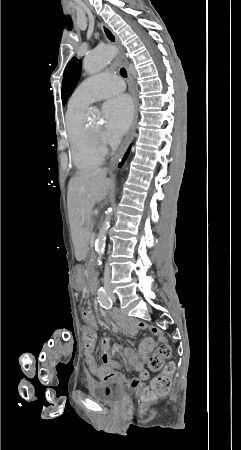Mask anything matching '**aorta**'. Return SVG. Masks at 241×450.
Segmentation results:
<instances>
[{
	"label": "aorta",
	"mask_w": 241,
	"mask_h": 450,
	"mask_svg": "<svg viewBox=\"0 0 241 450\" xmlns=\"http://www.w3.org/2000/svg\"><path fill=\"white\" fill-rule=\"evenodd\" d=\"M117 53V49L113 45H103L99 46L90 53H88L83 61V69L88 74H95L100 71H102L108 63L115 57ZM89 114L92 117H96L99 115L98 109L95 107H91ZM112 213L110 212V209L106 213L105 220L103 222V225L99 231L98 237L95 242V251L98 253V263L99 265L102 264L101 256L105 251L106 246V232L108 228L110 227V220H111Z\"/></svg>",
	"instance_id": "aorta-1"
}]
</instances>
